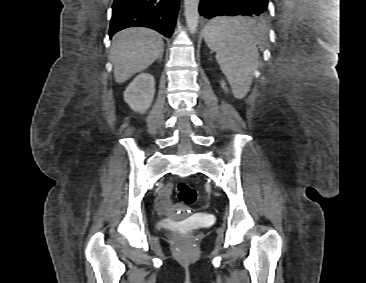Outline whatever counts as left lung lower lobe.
<instances>
[{"label": "left lung lower lobe", "instance_id": "1", "mask_svg": "<svg viewBox=\"0 0 366 283\" xmlns=\"http://www.w3.org/2000/svg\"><path fill=\"white\" fill-rule=\"evenodd\" d=\"M264 0H201L199 12L203 18L215 16H249L251 18L268 12Z\"/></svg>", "mask_w": 366, "mask_h": 283}]
</instances>
